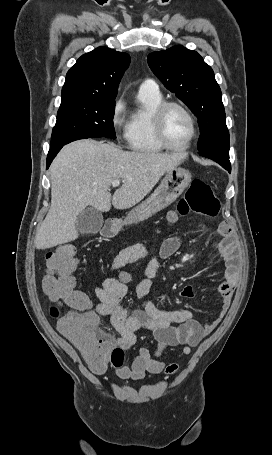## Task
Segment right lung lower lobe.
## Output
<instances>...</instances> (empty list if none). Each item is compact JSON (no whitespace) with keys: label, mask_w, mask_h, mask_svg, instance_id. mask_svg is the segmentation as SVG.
I'll list each match as a JSON object with an SVG mask.
<instances>
[{"label":"right lung lower lobe","mask_w":272,"mask_h":455,"mask_svg":"<svg viewBox=\"0 0 272 455\" xmlns=\"http://www.w3.org/2000/svg\"><path fill=\"white\" fill-rule=\"evenodd\" d=\"M62 147H63V146H58V147H55V148H50L49 153H48V156H47V168L49 167V165L51 164L52 160L54 159V157L56 156V154L59 152V150H60Z\"/></svg>","instance_id":"obj_1"}]
</instances>
